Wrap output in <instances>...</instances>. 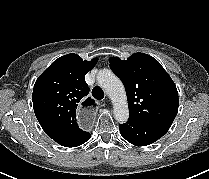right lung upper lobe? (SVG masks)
Instances as JSON below:
<instances>
[{
    "mask_svg": "<svg viewBox=\"0 0 209 179\" xmlns=\"http://www.w3.org/2000/svg\"><path fill=\"white\" fill-rule=\"evenodd\" d=\"M98 58L83 61L77 54L56 59L36 80L33 89L35 115L45 133L60 145H65L81 130L76 121L79 107L95 106L88 97L89 87L84 76L96 65Z\"/></svg>",
    "mask_w": 209,
    "mask_h": 179,
    "instance_id": "1",
    "label": "right lung upper lobe"
}]
</instances>
